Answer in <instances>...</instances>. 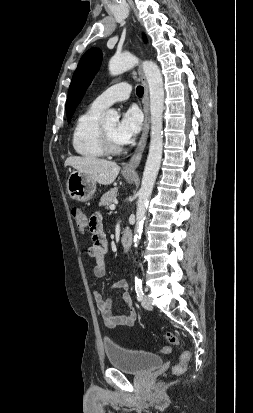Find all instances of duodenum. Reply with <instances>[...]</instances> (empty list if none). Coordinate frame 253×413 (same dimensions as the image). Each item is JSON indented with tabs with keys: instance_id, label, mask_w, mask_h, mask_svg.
Instances as JSON below:
<instances>
[{
	"instance_id": "obj_1",
	"label": "duodenum",
	"mask_w": 253,
	"mask_h": 413,
	"mask_svg": "<svg viewBox=\"0 0 253 413\" xmlns=\"http://www.w3.org/2000/svg\"><path fill=\"white\" fill-rule=\"evenodd\" d=\"M121 244L125 253L128 252L132 244V233L129 229H126L121 236Z\"/></svg>"
}]
</instances>
